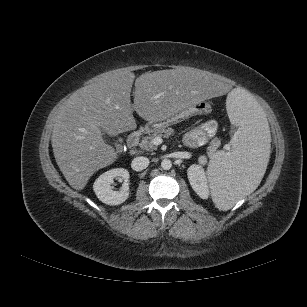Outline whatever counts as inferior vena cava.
<instances>
[{
	"mask_svg": "<svg viewBox=\"0 0 307 307\" xmlns=\"http://www.w3.org/2000/svg\"><path fill=\"white\" fill-rule=\"evenodd\" d=\"M149 165V159L147 157H136L132 160L131 167L135 171H142Z\"/></svg>",
	"mask_w": 307,
	"mask_h": 307,
	"instance_id": "obj_1",
	"label": "inferior vena cava"
}]
</instances>
